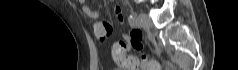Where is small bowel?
<instances>
[{"label": "small bowel", "instance_id": "obj_1", "mask_svg": "<svg viewBox=\"0 0 238 70\" xmlns=\"http://www.w3.org/2000/svg\"><path fill=\"white\" fill-rule=\"evenodd\" d=\"M79 3L81 5L82 11L88 17H90L92 19H97L98 18V16H99L98 12L96 10H93L92 8H90L85 0H79ZM114 13H115L116 17L119 20L122 19V11L119 7H116L114 9ZM111 31H112V27L107 22H97L94 25V34H95L96 38L99 39V40H104L107 36H109ZM129 45L130 44H127V47L125 48V52L128 48H130Z\"/></svg>", "mask_w": 238, "mask_h": 70}]
</instances>
